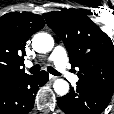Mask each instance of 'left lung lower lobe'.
Masks as SVG:
<instances>
[{
    "label": "left lung lower lobe",
    "mask_w": 114,
    "mask_h": 114,
    "mask_svg": "<svg viewBox=\"0 0 114 114\" xmlns=\"http://www.w3.org/2000/svg\"><path fill=\"white\" fill-rule=\"evenodd\" d=\"M114 90L78 81L76 88L57 98L60 109L66 114H101L108 106Z\"/></svg>",
    "instance_id": "1"
}]
</instances>
